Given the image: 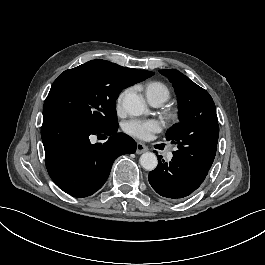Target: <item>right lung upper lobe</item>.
<instances>
[{
	"instance_id": "obj_1",
	"label": "right lung upper lobe",
	"mask_w": 265,
	"mask_h": 265,
	"mask_svg": "<svg viewBox=\"0 0 265 265\" xmlns=\"http://www.w3.org/2000/svg\"><path fill=\"white\" fill-rule=\"evenodd\" d=\"M137 70V69H135ZM140 74V76L142 77V81L150 76H152L154 73L150 72V71H145V70H137Z\"/></svg>"
}]
</instances>
